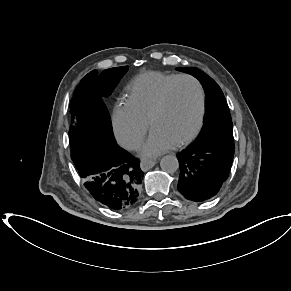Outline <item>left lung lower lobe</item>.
I'll list each match as a JSON object with an SVG mask.
<instances>
[{
    "mask_svg": "<svg viewBox=\"0 0 291 291\" xmlns=\"http://www.w3.org/2000/svg\"><path fill=\"white\" fill-rule=\"evenodd\" d=\"M234 148L211 143H192L178 153V191L194 202L207 201L218 194L232 166Z\"/></svg>",
    "mask_w": 291,
    "mask_h": 291,
    "instance_id": "0a47b994",
    "label": "left lung lower lobe"
}]
</instances>
